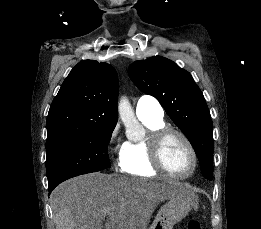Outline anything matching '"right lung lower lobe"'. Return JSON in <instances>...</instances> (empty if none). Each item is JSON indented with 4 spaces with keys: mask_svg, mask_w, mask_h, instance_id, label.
Masks as SVG:
<instances>
[{
    "mask_svg": "<svg viewBox=\"0 0 261 229\" xmlns=\"http://www.w3.org/2000/svg\"><path fill=\"white\" fill-rule=\"evenodd\" d=\"M53 189H54V188H48L49 193H51Z\"/></svg>",
    "mask_w": 261,
    "mask_h": 229,
    "instance_id": "right-lung-lower-lobe-1",
    "label": "right lung lower lobe"
}]
</instances>
